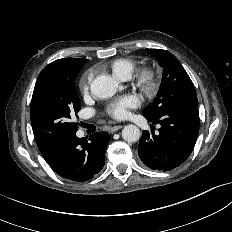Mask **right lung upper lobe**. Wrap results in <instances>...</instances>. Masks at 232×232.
Masks as SVG:
<instances>
[{"label": "right lung upper lobe", "mask_w": 232, "mask_h": 232, "mask_svg": "<svg viewBox=\"0 0 232 232\" xmlns=\"http://www.w3.org/2000/svg\"><path fill=\"white\" fill-rule=\"evenodd\" d=\"M52 154H53V153L42 154V155H43V157H44L45 160H48V159L51 157Z\"/></svg>", "instance_id": "1"}]
</instances>
